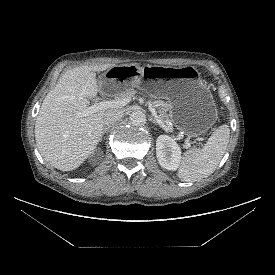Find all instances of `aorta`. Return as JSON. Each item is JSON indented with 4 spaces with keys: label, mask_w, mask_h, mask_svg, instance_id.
<instances>
[{
    "label": "aorta",
    "mask_w": 275,
    "mask_h": 275,
    "mask_svg": "<svg viewBox=\"0 0 275 275\" xmlns=\"http://www.w3.org/2000/svg\"><path fill=\"white\" fill-rule=\"evenodd\" d=\"M130 123L134 126L141 127L146 124V116L140 110L132 111L129 115Z\"/></svg>",
    "instance_id": "obj_1"
}]
</instances>
